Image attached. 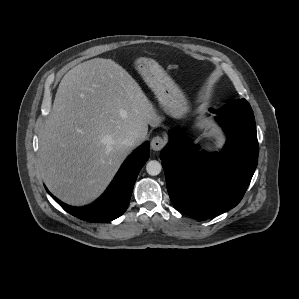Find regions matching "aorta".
Returning <instances> with one entry per match:
<instances>
[{
    "instance_id": "1",
    "label": "aorta",
    "mask_w": 299,
    "mask_h": 299,
    "mask_svg": "<svg viewBox=\"0 0 299 299\" xmlns=\"http://www.w3.org/2000/svg\"><path fill=\"white\" fill-rule=\"evenodd\" d=\"M162 166L156 160H151L146 165V171L151 176H156L161 172Z\"/></svg>"
}]
</instances>
